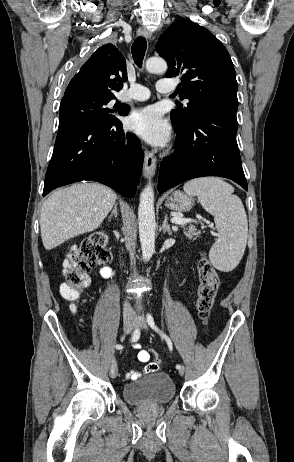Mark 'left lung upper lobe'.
I'll list each match as a JSON object with an SVG mask.
<instances>
[{
    "label": "left lung upper lobe",
    "instance_id": "5c2ea615",
    "mask_svg": "<svg viewBox=\"0 0 294 462\" xmlns=\"http://www.w3.org/2000/svg\"><path fill=\"white\" fill-rule=\"evenodd\" d=\"M156 51L168 63L166 77L181 75L178 87L187 107L171 111V122L185 128L208 107L238 105L236 72L224 45L206 28L179 20L160 36Z\"/></svg>",
    "mask_w": 294,
    "mask_h": 462
}]
</instances>
